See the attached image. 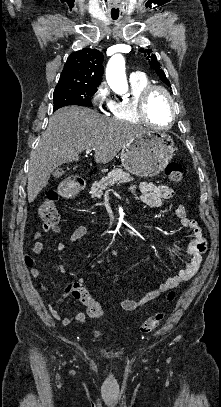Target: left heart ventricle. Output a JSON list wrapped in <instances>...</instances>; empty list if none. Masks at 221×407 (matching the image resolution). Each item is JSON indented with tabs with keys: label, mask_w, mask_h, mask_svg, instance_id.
Here are the masks:
<instances>
[{
	"label": "left heart ventricle",
	"mask_w": 221,
	"mask_h": 407,
	"mask_svg": "<svg viewBox=\"0 0 221 407\" xmlns=\"http://www.w3.org/2000/svg\"><path fill=\"white\" fill-rule=\"evenodd\" d=\"M149 118L152 122L166 126L171 118V106L163 93H155L147 107Z\"/></svg>",
	"instance_id": "1"
}]
</instances>
